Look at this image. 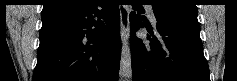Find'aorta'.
Segmentation results:
<instances>
[{"instance_id":"1","label":"aorta","mask_w":237,"mask_h":81,"mask_svg":"<svg viewBox=\"0 0 237 81\" xmlns=\"http://www.w3.org/2000/svg\"><path fill=\"white\" fill-rule=\"evenodd\" d=\"M119 80L120 81L132 80L131 51L127 41H123L122 43Z\"/></svg>"}]
</instances>
